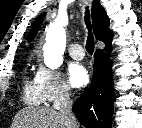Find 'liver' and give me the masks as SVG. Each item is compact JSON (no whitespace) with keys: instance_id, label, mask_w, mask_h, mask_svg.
<instances>
[{"instance_id":"1","label":"liver","mask_w":142,"mask_h":128,"mask_svg":"<svg viewBox=\"0 0 142 128\" xmlns=\"http://www.w3.org/2000/svg\"><path fill=\"white\" fill-rule=\"evenodd\" d=\"M62 115L49 107H26L20 110L12 128H68Z\"/></svg>"}]
</instances>
